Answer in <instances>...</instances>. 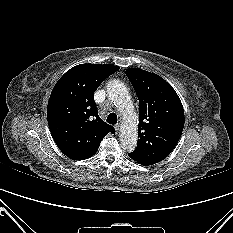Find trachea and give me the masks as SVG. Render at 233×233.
I'll list each match as a JSON object with an SVG mask.
<instances>
[{
  "label": "trachea",
  "mask_w": 233,
  "mask_h": 233,
  "mask_svg": "<svg viewBox=\"0 0 233 233\" xmlns=\"http://www.w3.org/2000/svg\"><path fill=\"white\" fill-rule=\"evenodd\" d=\"M109 124L114 125L117 123V115L115 113H110L106 120Z\"/></svg>",
  "instance_id": "1"
}]
</instances>
